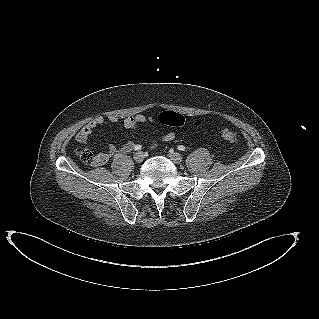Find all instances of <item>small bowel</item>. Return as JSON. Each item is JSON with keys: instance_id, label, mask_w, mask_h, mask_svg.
<instances>
[{"instance_id": "1", "label": "small bowel", "mask_w": 319, "mask_h": 319, "mask_svg": "<svg viewBox=\"0 0 319 319\" xmlns=\"http://www.w3.org/2000/svg\"><path fill=\"white\" fill-rule=\"evenodd\" d=\"M108 120L111 123H117L119 121L118 116L111 115L108 117ZM105 122V118L103 116H98L88 122L85 126H83L78 133L76 134V140L77 142L86 145L88 142V139L94 129H96L99 125H102ZM147 122H155L154 117H145L144 115L138 114V115H130L123 119V125L127 129H134L138 125L146 124ZM176 137V133L174 131H167L161 136V141L163 142H170L174 140ZM156 143L152 144V147H154ZM135 145L132 141L125 142L121 147H116L114 144L108 145V147L101 152H98L95 154V159L93 161V165L95 166H102L105 165L113 156L116 154H127L132 149H134Z\"/></svg>"}]
</instances>
